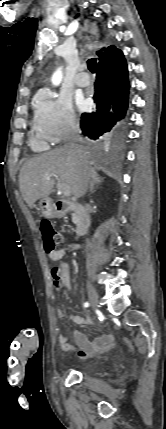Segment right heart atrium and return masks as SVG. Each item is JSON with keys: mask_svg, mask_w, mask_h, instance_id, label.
Instances as JSON below:
<instances>
[{"mask_svg": "<svg viewBox=\"0 0 166 429\" xmlns=\"http://www.w3.org/2000/svg\"><path fill=\"white\" fill-rule=\"evenodd\" d=\"M34 127L52 143L74 134L79 128V119L70 98L50 90L39 95L34 106Z\"/></svg>", "mask_w": 166, "mask_h": 429, "instance_id": "d8ad5b80", "label": "right heart atrium"}]
</instances>
